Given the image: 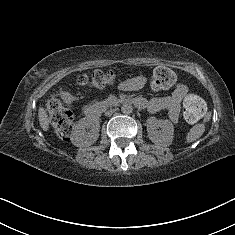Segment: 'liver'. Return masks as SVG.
<instances>
[{"instance_id": "1", "label": "liver", "mask_w": 235, "mask_h": 235, "mask_svg": "<svg viewBox=\"0 0 235 235\" xmlns=\"http://www.w3.org/2000/svg\"><path fill=\"white\" fill-rule=\"evenodd\" d=\"M38 117H39V122L40 126L43 130L47 131L49 128V121L47 117V113L44 110V108L40 107L38 110Z\"/></svg>"}]
</instances>
